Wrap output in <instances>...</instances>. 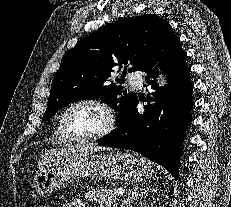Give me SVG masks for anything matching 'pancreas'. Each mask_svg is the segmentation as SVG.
<instances>
[{
  "instance_id": "obj_1",
  "label": "pancreas",
  "mask_w": 231,
  "mask_h": 207,
  "mask_svg": "<svg viewBox=\"0 0 231 207\" xmlns=\"http://www.w3.org/2000/svg\"><path fill=\"white\" fill-rule=\"evenodd\" d=\"M117 189L113 187H105V188H99V189H91L86 194L85 197L91 202H94L96 204H99L100 207H104L105 205L107 207L110 206V204H113L117 198Z\"/></svg>"
}]
</instances>
